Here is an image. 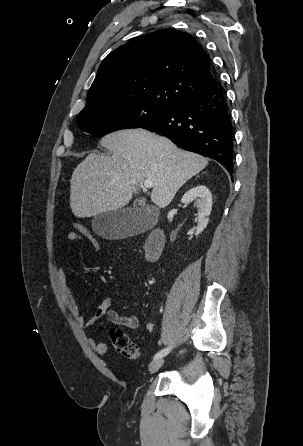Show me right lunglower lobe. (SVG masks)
Wrapping results in <instances>:
<instances>
[{"mask_svg": "<svg viewBox=\"0 0 303 446\" xmlns=\"http://www.w3.org/2000/svg\"><path fill=\"white\" fill-rule=\"evenodd\" d=\"M141 128L179 147L217 160L233 172V133L224 91L215 85L192 93Z\"/></svg>", "mask_w": 303, "mask_h": 446, "instance_id": "1", "label": "right lung lower lobe"}]
</instances>
